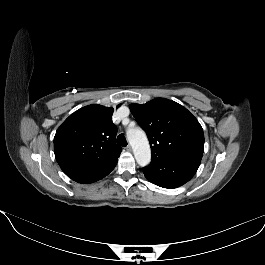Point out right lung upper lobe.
Segmentation results:
<instances>
[{"label": "right lung upper lobe", "mask_w": 265, "mask_h": 265, "mask_svg": "<svg viewBox=\"0 0 265 265\" xmlns=\"http://www.w3.org/2000/svg\"><path fill=\"white\" fill-rule=\"evenodd\" d=\"M113 111L111 107L97 104L85 106L71 114L58 128L54 153L67 176L87 172L110 173L116 166L122 149L115 143L117 128L112 123Z\"/></svg>", "instance_id": "cb5924a9"}]
</instances>
